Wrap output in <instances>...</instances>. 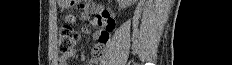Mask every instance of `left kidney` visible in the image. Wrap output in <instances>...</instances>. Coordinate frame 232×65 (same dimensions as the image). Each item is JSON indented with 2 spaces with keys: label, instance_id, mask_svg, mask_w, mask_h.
Listing matches in <instances>:
<instances>
[{
  "label": "left kidney",
  "instance_id": "1",
  "mask_svg": "<svg viewBox=\"0 0 232 65\" xmlns=\"http://www.w3.org/2000/svg\"><path fill=\"white\" fill-rule=\"evenodd\" d=\"M133 2H135V0H118L121 9L130 6Z\"/></svg>",
  "mask_w": 232,
  "mask_h": 65
}]
</instances>
